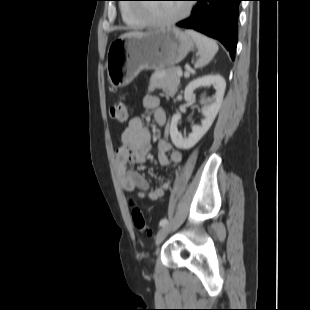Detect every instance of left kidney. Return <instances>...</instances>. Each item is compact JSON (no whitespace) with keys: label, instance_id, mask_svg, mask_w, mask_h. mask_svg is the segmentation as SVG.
<instances>
[{"label":"left kidney","instance_id":"obj_1","mask_svg":"<svg viewBox=\"0 0 310 310\" xmlns=\"http://www.w3.org/2000/svg\"><path fill=\"white\" fill-rule=\"evenodd\" d=\"M213 86L216 90L214 97L208 98L203 96L201 103L203 104L202 113L204 119L201 125H194L192 127V132L188 137H183L180 132H178L177 125L180 119L179 114H175L171 120L170 126V136L173 144L179 149H190L193 147L209 130L211 127L223 101L226 82L220 75H207L190 82L184 91L185 101H191L193 99V91L200 87H210Z\"/></svg>","mask_w":310,"mask_h":310}]
</instances>
